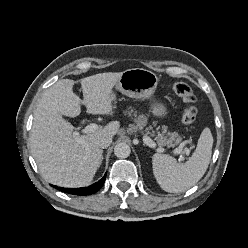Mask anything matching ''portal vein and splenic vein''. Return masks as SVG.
I'll return each instance as SVG.
<instances>
[{"label": "portal vein and splenic vein", "mask_w": 248, "mask_h": 248, "mask_svg": "<svg viewBox=\"0 0 248 248\" xmlns=\"http://www.w3.org/2000/svg\"><path fill=\"white\" fill-rule=\"evenodd\" d=\"M99 128V126L96 124V123H91L89 125H87L83 130L82 132L85 133V134H88V133H92V132H95L97 129ZM74 136L78 137L79 136V133L78 132H74L73 133ZM144 142L151 148H155L156 147V144L155 142L148 136H144L143 138ZM173 153L176 154V155H180V158H179V161H182L184 160V157L182 156V153H183V146H180L176 149L173 150ZM184 153L186 155H189V150L186 149L184 151Z\"/></svg>", "instance_id": "18ae733b"}]
</instances>
